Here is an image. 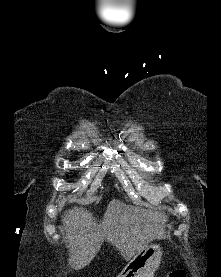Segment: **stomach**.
<instances>
[{"mask_svg": "<svg viewBox=\"0 0 221 277\" xmlns=\"http://www.w3.org/2000/svg\"><path fill=\"white\" fill-rule=\"evenodd\" d=\"M160 244L151 243L138 251L118 277H152L162 259Z\"/></svg>", "mask_w": 221, "mask_h": 277, "instance_id": "1", "label": "stomach"}]
</instances>
